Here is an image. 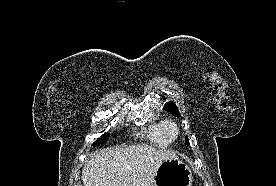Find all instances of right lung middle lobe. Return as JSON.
Here are the masks:
<instances>
[{
  "mask_svg": "<svg viewBox=\"0 0 276 186\" xmlns=\"http://www.w3.org/2000/svg\"><path fill=\"white\" fill-rule=\"evenodd\" d=\"M109 139V133L104 134V136H102L101 138L97 139L94 143L93 146L99 145L104 143L105 141H107Z\"/></svg>",
  "mask_w": 276,
  "mask_h": 186,
  "instance_id": "right-lung-middle-lobe-1",
  "label": "right lung middle lobe"
}]
</instances>
